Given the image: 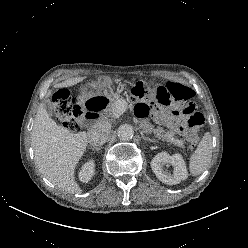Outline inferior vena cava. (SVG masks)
I'll return each mask as SVG.
<instances>
[{
    "label": "inferior vena cava",
    "mask_w": 248,
    "mask_h": 248,
    "mask_svg": "<svg viewBox=\"0 0 248 248\" xmlns=\"http://www.w3.org/2000/svg\"><path fill=\"white\" fill-rule=\"evenodd\" d=\"M110 132L111 125L108 122H99L89 129L87 133L88 142L93 147L101 146L107 141Z\"/></svg>",
    "instance_id": "inferior-vena-cava-1"
}]
</instances>
